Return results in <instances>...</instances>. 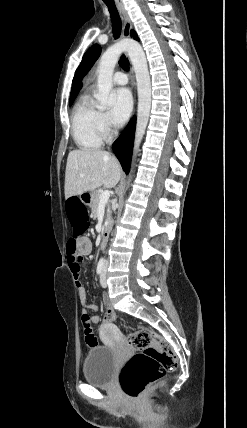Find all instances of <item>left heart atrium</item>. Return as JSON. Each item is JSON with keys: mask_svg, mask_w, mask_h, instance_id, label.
Returning a JSON list of instances; mask_svg holds the SVG:
<instances>
[{"mask_svg": "<svg viewBox=\"0 0 247 428\" xmlns=\"http://www.w3.org/2000/svg\"><path fill=\"white\" fill-rule=\"evenodd\" d=\"M132 108L133 100L129 90L120 88L113 92L111 116L116 123H124L129 118Z\"/></svg>", "mask_w": 247, "mask_h": 428, "instance_id": "left-heart-atrium-1", "label": "left heart atrium"}]
</instances>
